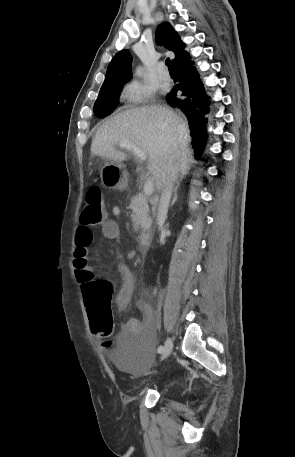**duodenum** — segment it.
Masks as SVG:
<instances>
[{
    "label": "duodenum",
    "mask_w": 295,
    "mask_h": 457,
    "mask_svg": "<svg viewBox=\"0 0 295 457\" xmlns=\"http://www.w3.org/2000/svg\"><path fill=\"white\" fill-rule=\"evenodd\" d=\"M152 241V236L150 233H143L140 237V250L142 254H147L150 244Z\"/></svg>",
    "instance_id": "obj_1"
}]
</instances>
